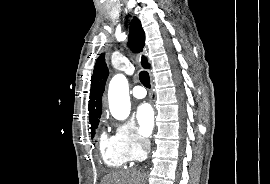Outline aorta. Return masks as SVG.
<instances>
[{
    "label": "aorta",
    "instance_id": "1",
    "mask_svg": "<svg viewBox=\"0 0 270 184\" xmlns=\"http://www.w3.org/2000/svg\"><path fill=\"white\" fill-rule=\"evenodd\" d=\"M109 109L112 116L118 120L126 119L130 114L131 104L127 78L116 74L109 83Z\"/></svg>",
    "mask_w": 270,
    "mask_h": 184
}]
</instances>
